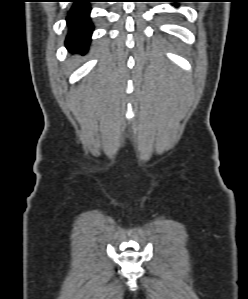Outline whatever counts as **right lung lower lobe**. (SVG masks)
<instances>
[{
  "label": "right lung lower lobe",
  "instance_id": "right-lung-lower-lobe-1",
  "mask_svg": "<svg viewBox=\"0 0 248 299\" xmlns=\"http://www.w3.org/2000/svg\"><path fill=\"white\" fill-rule=\"evenodd\" d=\"M73 5L68 11V35L65 40L70 51L86 52L91 41L94 26L90 19L92 0H71Z\"/></svg>",
  "mask_w": 248,
  "mask_h": 299
}]
</instances>
